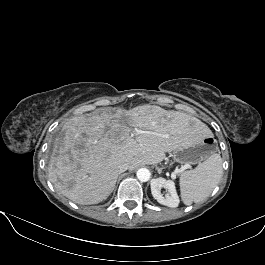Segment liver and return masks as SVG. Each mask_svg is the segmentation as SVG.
Returning <instances> with one entry per match:
<instances>
[{"mask_svg": "<svg viewBox=\"0 0 265 265\" xmlns=\"http://www.w3.org/2000/svg\"><path fill=\"white\" fill-rule=\"evenodd\" d=\"M48 164L54 187L77 204H97L114 190L118 166L154 165L210 130L185 113L156 105L116 108L65 121Z\"/></svg>", "mask_w": 265, "mask_h": 265, "instance_id": "liver-1", "label": "liver"}]
</instances>
